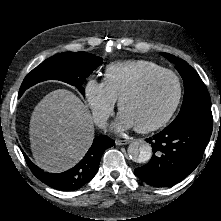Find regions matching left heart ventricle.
I'll return each instance as SVG.
<instances>
[{"label": "left heart ventricle", "instance_id": "obj_1", "mask_svg": "<svg viewBox=\"0 0 221 221\" xmlns=\"http://www.w3.org/2000/svg\"><path fill=\"white\" fill-rule=\"evenodd\" d=\"M176 83L170 76L153 79L141 92L124 100L121 112L134 126H148L161 120L176 97Z\"/></svg>", "mask_w": 221, "mask_h": 221}]
</instances>
